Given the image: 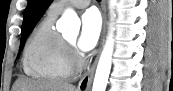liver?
<instances>
[{"label": "liver", "instance_id": "6515ba94", "mask_svg": "<svg viewBox=\"0 0 173 91\" xmlns=\"http://www.w3.org/2000/svg\"><path fill=\"white\" fill-rule=\"evenodd\" d=\"M13 91H76L71 84L61 81H42L28 78H19Z\"/></svg>", "mask_w": 173, "mask_h": 91}]
</instances>
